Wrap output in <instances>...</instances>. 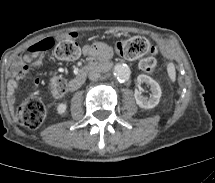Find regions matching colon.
Listing matches in <instances>:
<instances>
[{"label": "colon", "instance_id": "5ec220e1", "mask_svg": "<svg viewBox=\"0 0 215 183\" xmlns=\"http://www.w3.org/2000/svg\"><path fill=\"white\" fill-rule=\"evenodd\" d=\"M54 46L51 40L41 41L35 46L37 50H47ZM117 50L126 59L134 60L149 54L140 60L139 67L143 72L153 73L159 70L160 64L153 56L157 49L144 37H133L117 45ZM55 55L63 60H74L80 55V47L73 39H65L55 46ZM66 91V83L56 78L49 84L46 94L42 98H31L16 109V119L24 127L37 129L44 122L47 115V103L59 98Z\"/></svg>", "mask_w": 215, "mask_h": 183}]
</instances>
